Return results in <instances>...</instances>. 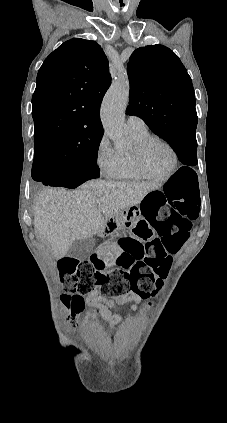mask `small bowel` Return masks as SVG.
Instances as JSON below:
<instances>
[{
    "instance_id": "obj_1",
    "label": "small bowel",
    "mask_w": 227,
    "mask_h": 423,
    "mask_svg": "<svg viewBox=\"0 0 227 423\" xmlns=\"http://www.w3.org/2000/svg\"><path fill=\"white\" fill-rule=\"evenodd\" d=\"M138 222L146 223L147 225H149L144 217L139 219ZM117 253H118V250L115 256L117 255ZM140 301H141V298L134 293H129L123 297H114L112 299H107L102 297L100 295V290H97V289L94 290L87 298L88 303L94 304L96 306L98 315L104 321L109 322L113 328H117L122 323V321L124 320V316L112 315L109 308H112L115 306H123L128 302H133L131 311H135L138 309Z\"/></svg>"
}]
</instances>
